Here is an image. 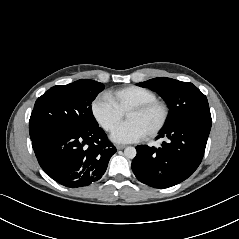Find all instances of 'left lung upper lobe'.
<instances>
[{
  "label": "left lung upper lobe",
  "instance_id": "1",
  "mask_svg": "<svg viewBox=\"0 0 239 239\" xmlns=\"http://www.w3.org/2000/svg\"><path fill=\"white\" fill-rule=\"evenodd\" d=\"M137 85L156 91L166 101L170 112L165 127L192 119L211 120L206 96L192 83L159 77Z\"/></svg>",
  "mask_w": 239,
  "mask_h": 239
}]
</instances>
